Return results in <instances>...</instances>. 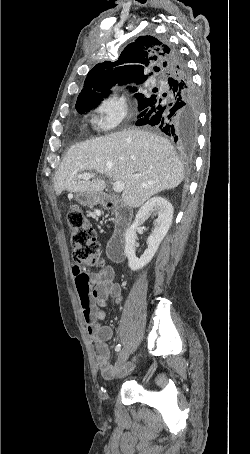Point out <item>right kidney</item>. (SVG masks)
<instances>
[{
  "instance_id": "right-kidney-1",
  "label": "right kidney",
  "mask_w": 250,
  "mask_h": 454,
  "mask_svg": "<svg viewBox=\"0 0 250 454\" xmlns=\"http://www.w3.org/2000/svg\"><path fill=\"white\" fill-rule=\"evenodd\" d=\"M157 216L154 229L148 237V248L144 254L137 258L135 255L136 229L150 215ZM173 219V207L165 198L156 196L149 199L137 212L135 220L125 234L124 252L128 258V266L136 271L147 265L159 248L160 243L167 234Z\"/></svg>"
}]
</instances>
